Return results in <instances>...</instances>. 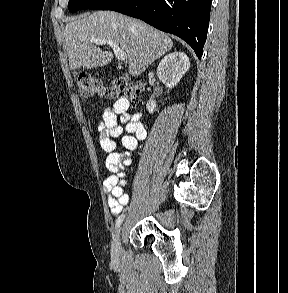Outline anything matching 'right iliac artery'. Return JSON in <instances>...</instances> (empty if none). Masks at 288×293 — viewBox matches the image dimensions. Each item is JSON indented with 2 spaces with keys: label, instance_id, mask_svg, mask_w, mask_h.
<instances>
[{
  "label": "right iliac artery",
  "instance_id": "82829eb1",
  "mask_svg": "<svg viewBox=\"0 0 288 293\" xmlns=\"http://www.w3.org/2000/svg\"><path fill=\"white\" fill-rule=\"evenodd\" d=\"M124 217H125V215L122 214V215H120V216L117 218V220H116V228H118V227L121 225V223H122L123 220H124Z\"/></svg>",
  "mask_w": 288,
  "mask_h": 293
}]
</instances>
